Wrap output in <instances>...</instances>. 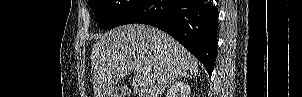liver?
<instances>
[{
  "mask_svg": "<svg viewBox=\"0 0 302 97\" xmlns=\"http://www.w3.org/2000/svg\"><path fill=\"white\" fill-rule=\"evenodd\" d=\"M132 89L138 97H160L182 77L198 74L197 59L173 37L143 24H127L99 36L91 53V75L95 97H108L109 91L136 67Z\"/></svg>",
  "mask_w": 302,
  "mask_h": 97,
  "instance_id": "1",
  "label": "liver"
}]
</instances>
